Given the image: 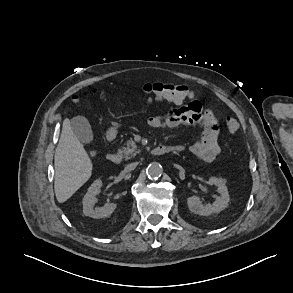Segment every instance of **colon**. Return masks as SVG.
Here are the masks:
<instances>
[{
  "label": "colon",
  "instance_id": "5ec220e1",
  "mask_svg": "<svg viewBox=\"0 0 293 293\" xmlns=\"http://www.w3.org/2000/svg\"><path fill=\"white\" fill-rule=\"evenodd\" d=\"M140 90L150 95L155 100H169L177 104L189 105V100L191 94L186 86L173 84V83H163V82H146L141 85ZM95 88H92L90 92L94 93ZM89 93L88 90H84L79 94H73L70 97L72 102H78L82 97ZM227 129L235 133L239 130L240 125L238 121L232 117L227 118L226 121ZM96 152L91 151V156L95 157Z\"/></svg>",
  "mask_w": 293,
  "mask_h": 293
}]
</instances>
